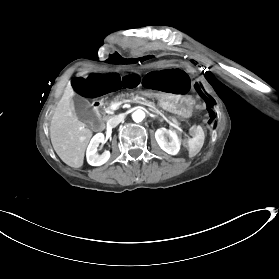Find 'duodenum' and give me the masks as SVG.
<instances>
[{
	"label": "duodenum",
	"mask_w": 279,
	"mask_h": 279,
	"mask_svg": "<svg viewBox=\"0 0 279 279\" xmlns=\"http://www.w3.org/2000/svg\"><path fill=\"white\" fill-rule=\"evenodd\" d=\"M135 96L158 98V93L135 91ZM91 109L94 112H98L99 117H101L102 125L100 126V128H98V132H101V129H103L105 126L104 117H102L101 113V111L104 109V102L101 99H94L91 102Z\"/></svg>",
	"instance_id": "410a0bca"
}]
</instances>
